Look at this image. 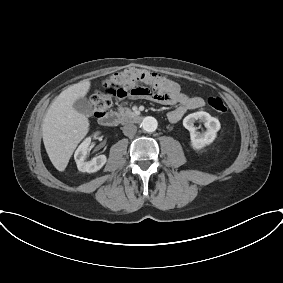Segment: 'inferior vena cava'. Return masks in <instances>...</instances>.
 <instances>
[{
    "label": "inferior vena cava",
    "mask_w": 283,
    "mask_h": 283,
    "mask_svg": "<svg viewBox=\"0 0 283 283\" xmlns=\"http://www.w3.org/2000/svg\"><path fill=\"white\" fill-rule=\"evenodd\" d=\"M137 131V127L134 124H126L123 127V133L124 135L130 137L133 136Z\"/></svg>",
    "instance_id": "602c4592"
}]
</instances>
